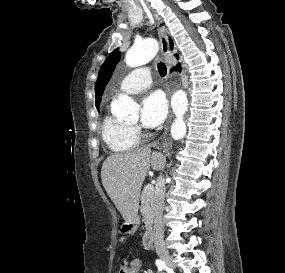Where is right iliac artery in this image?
<instances>
[{"instance_id":"1","label":"right iliac artery","mask_w":285,"mask_h":273,"mask_svg":"<svg viewBox=\"0 0 285 273\" xmlns=\"http://www.w3.org/2000/svg\"><path fill=\"white\" fill-rule=\"evenodd\" d=\"M156 266L158 267V269L160 271H162L163 269H165V263L164 261H162L161 259H157L156 260Z\"/></svg>"}]
</instances>
